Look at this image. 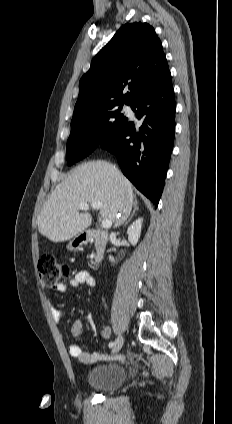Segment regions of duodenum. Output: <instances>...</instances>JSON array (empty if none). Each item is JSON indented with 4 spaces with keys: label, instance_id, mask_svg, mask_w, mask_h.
I'll return each mask as SVG.
<instances>
[{
    "label": "duodenum",
    "instance_id": "duodenum-1",
    "mask_svg": "<svg viewBox=\"0 0 232 424\" xmlns=\"http://www.w3.org/2000/svg\"><path fill=\"white\" fill-rule=\"evenodd\" d=\"M109 234L105 230L93 229L84 234V240L89 243L91 241L95 244L94 249V266L102 261L105 255L106 247L108 244Z\"/></svg>",
    "mask_w": 232,
    "mask_h": 424
}]
</instances>
